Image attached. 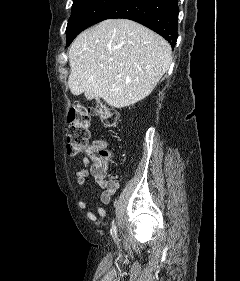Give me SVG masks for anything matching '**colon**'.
I'll list each match as a JSON object with an SVG mask.
<instances>
[{
	"mask_svg": "<svg viewBox=\"0 0 240 281\" xmlns=\"http://www.w3.org/2000/svg\"><path fill=\"white\" fill-rule=\"evenodd\" d=\"M92 117L98 118L106 128L115 127L118 121L117 113L106 104L95 107L73 106L67 116V153L70 156L91 159L92 168L97 173L104 174L112 157L103 141L90 142L89 124Z\"/></svg>",
	"mask_w": 240,
	"mask_h": 281,
	"instance_id": "1",
	"label": "colon"
}]
</instances>
